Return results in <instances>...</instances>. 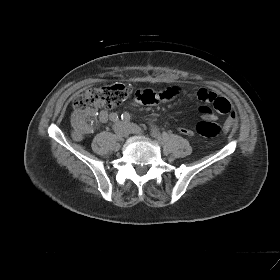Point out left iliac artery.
<instances>
[{"label": "left iliac artery", "instance_id": "obj_1", "mask_svg": "<svg viewBox=\"0 0 280 280\" xmlns=\"http://www.w3.org/2000/svg\"><path fill=\"white\" fill-rule=\"evenodd\" d=\"M121 119L124 122H129L131 120V115L129 113L125 112L121 115ZM151 133H152V135H154V137L159 136L158 128L156 126H151Z\"/></svg>", "mask_w": 280, "mask_h": 280}]
</instances>
